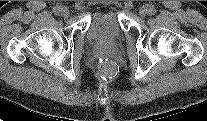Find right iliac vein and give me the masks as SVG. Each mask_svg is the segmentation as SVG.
I'll use <instances>...</instances> for the list:
<instances>
[{
  "label": "right iliac vein",
  "mask_w": 207,
  "mask_h": 121,
  "mask_svg": "<svg viewBox=\"0 0 207 121\" xmlns=\"http://www.w3.org/2000/svg\"><path fill=\"white\" fill-rule=\"evenodd\" d=\"M70 12L69 10L66 8V7H63L61 9V15L64 17V18H67L69 16Z\"/></svg>",
  "instance_id": "right-iliac-vein-1"
}]
</instances>
